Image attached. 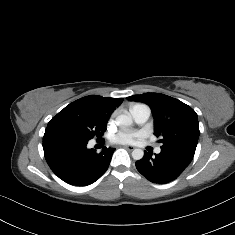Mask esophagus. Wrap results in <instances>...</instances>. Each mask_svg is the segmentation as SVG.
Instances as JSON below:
<instances>
[{
	"instance_id": "34e87169",
	"label": "esophagus",
	"mask_w": 235,
	"mask_h": 235,
	"mask_svg": "<svg viewBox=\"0 0 235 235\" xmlns=\"http://www.w3.org/2000/svg\"><path fill=\"white\" fill-rule=\"evenodd\" d=\"M122 147L125 148V149L128 150V151H132V150L135 149L134 146H129V145H123Z\"/></svg>"
}]
</instances>
